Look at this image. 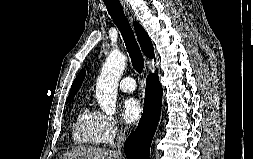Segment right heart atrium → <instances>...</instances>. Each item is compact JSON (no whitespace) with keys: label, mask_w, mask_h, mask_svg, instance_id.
<instances>
[{"label":"right heart atrium","mask_w":253,"mask_h":159,"mask_svg":"<svg viewBox=\"0 0 253 159\" xmlns=\"http://www.w3.org/2000/svg\"><path fill=\"white\" fill-rule=\"evenodd\" d=\"M101 126L104 144L112 143L123 132V127L118 119L111 115L101 114Z\"/></svg>","instance_id":"1"}]
</instances>
